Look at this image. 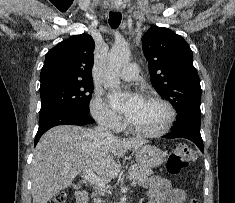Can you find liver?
<instances>
[{"label": "liver", "instance_id": "6515ba94", "mask_svg": "<svg viewBox=\"0 0 235 203\" xmlns=\"http://www.w3.org/2000/svg\"><path fill=\"white\" fill-rule=\"evenodd\" d=\"M146 141L139 138L102 137L96 130L74 125L56 126L40 138L33 154V203H47L69 187L78 174L91 170L105 182L114 179L120 165L114 160Z\"/></svg>", "mask_w": 235, "mask_h": 203}]
</instances>
